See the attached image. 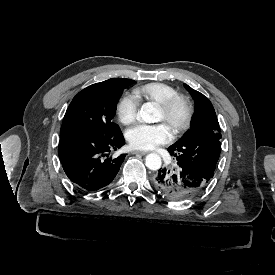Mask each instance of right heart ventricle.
Masks as SVG:
<instances>
[{
	"instance_id": "e07e8e85",
	"label": "right heart ventricle",
	"mask_w": 275,
	"mask_h": 275,
	"mask_svg": "<svg viewBox=\"0 0 275 275\" xmlns=\"http://www.w3.org/2000/svg\"><path fill=\"white\" fill-rule=\"evenodd\" d=\"M134 94L139 100L159 103L177 94V92L172 86L164 82L152 81L136 87Z\"/></svg>"
}]
</instances>
